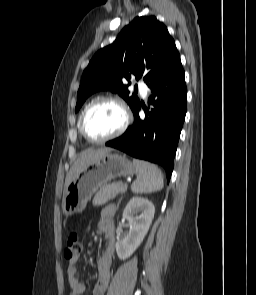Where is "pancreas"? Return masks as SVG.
Returning a JSON list of instances; mask_svg holds the SVG:
<instances>
[{
  "mask_svg": "<svg viewBox=\"0 0 256 295\" xmlns=\"http://www.w3.org/2000/svg\"><path fill=\"white\" fill-rule=\"evenodd\" d=\"M127 190V184L121 181L113 182L100 188L93 199L94 206L106 204L109 200L114 199L119 194H123Z\"/></svg>",
  "mask_w": 256,
  "mask_h": 295,
  "instance_id": "cf45deb5",
  "label": "pancreas"
}]
</instances>
